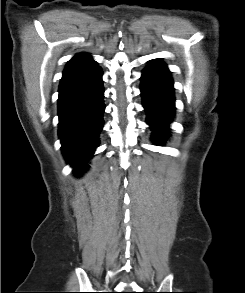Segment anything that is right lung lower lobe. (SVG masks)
<instances>
[{"instance_id": "98d812e1", "label": "right lung lower lobe", "mask_w": 245, "mask_h": 293, "mask_svg": "<svg viewBox=\"0 0 245 293\" xmlns=\"http://www.w3.org/2000/svg\"><path fill=\"white\" fill-rule=\"evenodd\" d=\"M104 88L98 66L59 87V138L66 161L81 173L88 168L104 125Z\"/></svg>"}]
</instances>
